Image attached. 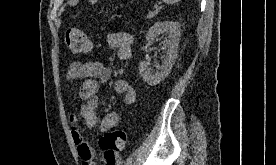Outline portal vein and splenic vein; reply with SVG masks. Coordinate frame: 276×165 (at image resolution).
Returning <instances> with one entry per match:
<instances>
[{"instance_id":"18ae733b","label":"portal vein and splenic vein","mask_w":276,"mask_h":165,"mask_svg":"<svg viewBox=\"0 0 276 165\" xmlns=\"http://www.w3.org/2000/svg\"><path fill=\"white\" fill-rule=\"evenodd\" d=\"M155 8H156V11H157V10H158V7L156 6ZM156 11H154V12H150V13L147 15V18H148V19L153 18V17H154V15H155V13H156Z\"/></svg>"}]
</instances>
